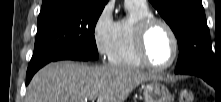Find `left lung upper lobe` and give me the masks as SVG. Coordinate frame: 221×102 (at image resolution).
Here are the masks:
<instances>
[{"label":"left lung upper lobe","instance_id":"5c2ea615","mask_svg":"<svg viewBox=\"0 0 221 102\" xmlns=\"http://www.w3.org/2000/svg\"><path fill=\"white\" fill-rule=\"evenodd\" d=\"M174 32L179 46L175 72L201 71L215 77L221 59L214 55L201 0H150Z\"/></svg>","mask_w":221,"mask_h":102}]
</instances>
